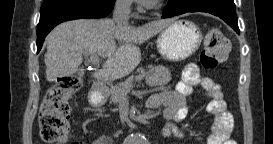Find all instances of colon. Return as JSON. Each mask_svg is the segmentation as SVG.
Segmentation results:
<instances>
[{"label": "colon", "mask_w": 273, "mask_h": 144, "mask_svg": "<svg viewBox=\"0 0 273 144\" xmlns=\"http://www.w3.org/2000/svg\"><path fill=\"white\" fill-rule=\"evenodd\" d=\"M229 41L217 27L208 30L204 37L200 63L206 70L220 66L227 58ZM80 87L76 76L60 78L49 90L39 113L40 135L47 143H64L69 137L70 105L68 98Z\"/></svg>", "instance_id": "colon-1"}]
</instances>
